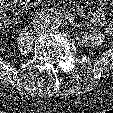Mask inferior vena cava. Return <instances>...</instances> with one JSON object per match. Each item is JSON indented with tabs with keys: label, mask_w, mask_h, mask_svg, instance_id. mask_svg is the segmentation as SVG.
I'll list each match as a JSON object with an SVG mask.
<instances>
[{
	"label": "inferior vena cava",
	"mask_w": 113,
	"mask_h": 113,
	"mask_svg": "<svg viewBox=\"0 0 113 113\" xmlns=\"http://www.w3.org/2000/svg\"><path fill=\"white\" fill-rule=\"evenodd\" d=\"M44 25H45V28H47L48 30H55L59 27L60 20L57 18L48 19L45 21Z\"/></svg>",
	"instance_id": "1"
}]
</instances>
